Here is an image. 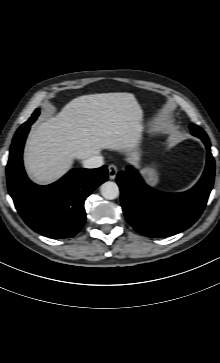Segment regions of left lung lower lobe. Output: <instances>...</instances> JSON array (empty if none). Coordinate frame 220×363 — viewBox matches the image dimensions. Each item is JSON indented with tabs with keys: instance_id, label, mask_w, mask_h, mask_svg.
Returning a JSON list of instances; mask_svg holds the SVG:
<instances>
[{
	"instance_id": "obj_1",
	"label": "left lung lower lobe",
	"mask_w": 220,
	"mask_h": 363,
	"mask_svg": "<svg viewBox=\"0 0 220 363\" xmlns=\"http://www.w3.org/2000/svg\"><path fill=\"white\" fill-rule=\"evenodd\" d=\"M196 137L207 148V164L199 182L186 192H157L144 184L129 166L117 174L126 219L140 234L168 237L188 229L201 215L213 187L215 163L207 135Z\"/></svg>"
}]
</instances>
